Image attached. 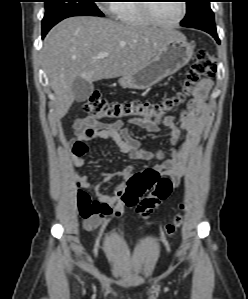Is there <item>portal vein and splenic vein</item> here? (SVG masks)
Segmentation results:
<instances>
[{
    "instance_id": "18ae733b",
    "label": "portal vein and splenic vein",
    "mask_w": 248,
    "mask_h": 299,
    "mask_svg": "<svg viewBox=\"0 0 248 299\" xmlns=\"http://www.w3.org/2000/svg\"><path fill=\"white\" fill-rule=\"evenodd\" d=\"M109 53L108 52H103L99 55L100 58L108 57Z\"/></svg>"
}]
</instances>
